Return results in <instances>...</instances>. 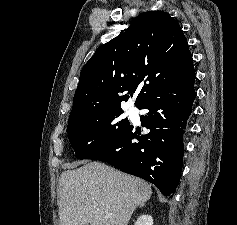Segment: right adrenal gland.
<instances>
[{"instance_id": "1", "label": "right adrenal gland", "mask_w": 237, "mask_h": 225, "mask_svg": "<svg viewBox=\"0 0 237 225\" xmlns=\"http://www.w3.org/2000/svg\"><path fill=\"white\" fill-rule=\"evenodd\" d=\"M144 206V204L140 205V207Z\"/></svg>"}]
</instances>
